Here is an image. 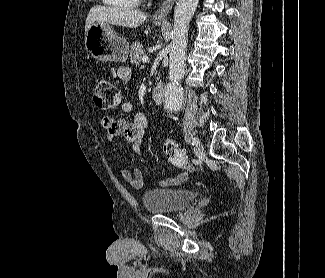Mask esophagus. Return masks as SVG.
Wrapping results in <instances>:
<instances>
[{
	"instance_id": "34e87169",
	"label": "esophagus",
	"mask_w": 325,
	"mask_h": 278,
	"mask_svg": "<svg viewBox=\"0 0 325 278\" xmlns=\"http://www.w3.org/2000/svg\"><path fill=\"white\" fill-rule=\"evenodd\" d=\"M176 0H164L162 5L153 14L154 21H164L172 10Z\"/></svg>"
}]
</instances>
